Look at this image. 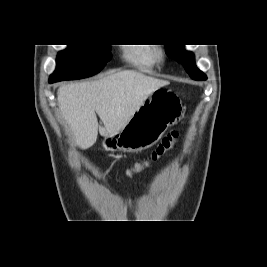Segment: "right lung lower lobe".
<instances>
[{
	"mask_svg": "<svg viewBox=\"0 0 267 267\" xmlns=\"http://www.w3.org/2000/svg\"><path fill=\"white\" fill-rule=\"evenodd\" d=\"M53 82H55V81L49 80V83H53Z\"/></svg>",
	"mask_w": 267,
	"mask_h": 267,
	"instance_id": "1",
	"label": "right lung lower lobe"
}]
</instances>
